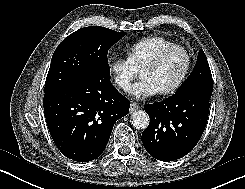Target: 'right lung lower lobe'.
Returning <instances> with one entry per match:
<instances>
[{"label": "right lung lower lobe", "mask_w": 245, "mask_h": 189, "mask_svg": "<svg viewBox=\"0 0 245 189\" xmlns=\"http://www.w3.org/2000/svg\"><path fill=\"white\" fill-rule=\"evenodd\" d=\"M44 114L61 153L78 162L102 154L114 123L127 115L129 101L110 82V74L88 78L44 94Z\"/></svg>", "instance_id": "98d812e1"}]
</instances>
